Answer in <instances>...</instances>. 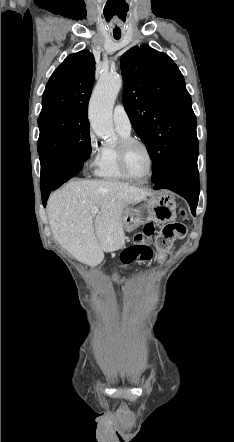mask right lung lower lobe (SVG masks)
Returning <instances> with one entry per match:
<instances>
[{
  "mask_svg": "<svg viewBox=\"0 0 234 442\" xmlns=\"http://www.w3.org/2000/svg\"><path fill=\"white\" fill-rule=\"evenodd\" d=\"M41 162V195L43 206H46L50 192L74 177L83 163L71 152L49 153L40 157Z\"/></svg>",
  "mask_w": 234,
  "mask_h": 442,
  "instance_id": "1",
  "label": "right lung lower lobe"
}]
</instances>
